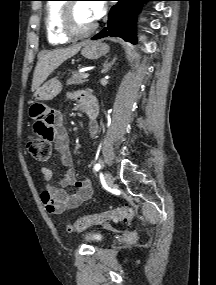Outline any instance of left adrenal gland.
Here are the masks:
<instances>
[{
    "mask_svg": "<svg viewBox=\"0 0 216 285\" xmlns=\"http://www.w3.org/2000/svg\"><path fill=\"white\" fill-rule=\"evenodd\" d=\"M114 62H115V58L110 63H108V58H107L103 64L102 73H107L108 70L111 68V66L114 64Z\"/></svg>",
    "mask_w": 216,
    "mask_h": 285,
    "instance_id": "1",
    "label": "left adrenal gland"
}]
</instances>
